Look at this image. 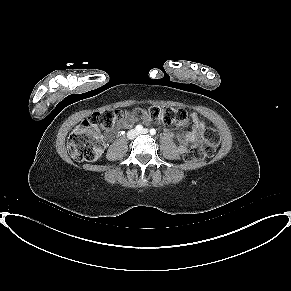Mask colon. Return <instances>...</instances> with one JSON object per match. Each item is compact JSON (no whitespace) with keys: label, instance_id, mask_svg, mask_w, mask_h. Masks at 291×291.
<instances>
[{"label":"colon","instance_id":"5ec220e1","mask_svg":"<svg viewBox=\"0 0 291 291\" xmlns=\"http://www.w3.org/2000/svg\"><path fill=\"white\" fill-rule=\"evenodd\" d=\"M124 116L122 110L104 109L93 113L82 121L70 134L67 147L73 159L79 162H93L102 151L101 130H110ZM134 119H149L164 124H179L187 119L186 111L168 107L151 106L148 109L136 108L132 112ZM220 142L219 133L208 128L202 143L193 145L185 154L187 162H196L210 157Z\"/></svg>","mask_w":291,"mask_h":291}]
</instances>
